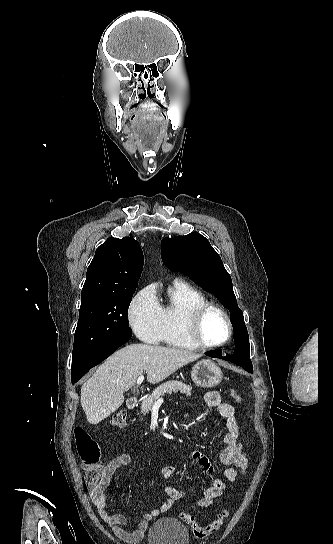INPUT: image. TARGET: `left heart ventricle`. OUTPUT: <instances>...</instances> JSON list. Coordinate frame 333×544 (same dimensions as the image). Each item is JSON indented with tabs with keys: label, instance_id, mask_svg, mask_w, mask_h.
Here are the masks:
<instances>
[{
	"label": "left heart ventricle",
	"instance_id": "obj_1",
	"mask_svg": "<svg viewBox=\"0 0 333 544\" xmlns=\"http://www.w3.org/2000/svg\"><path fill=\"white\" fill-rule=\"evenodd\" d=\"M202 335L208 343H219L227 338V323L220 312L211 310L207 313L202 324Z\"/></svg>",
	"mask_w": 333,
	"mask_h": 544
}]
</instances>
